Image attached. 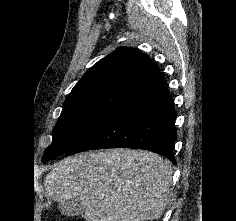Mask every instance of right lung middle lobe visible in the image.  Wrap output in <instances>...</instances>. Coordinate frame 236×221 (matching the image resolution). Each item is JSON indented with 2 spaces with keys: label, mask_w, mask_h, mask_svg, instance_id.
<instances>
[{
  "label": "right lung middle lobe",
  "mask_w": 236,
  "mask_h": 221,
  "mask_svg": "<svg viewBox=\"0 0 236 221\" xmlns=\"http://www.w3.org/2000/svg\"><path fill=\"white\" fill-rule=\"evenodd\" d=\"M134 94L123 90L94 92L64 103L53 130L52 144L46 149L42 161L45 163L69 151Z\"/></svg>",
  "instance_id": "dd1d6c3e"
}]
</instances>
